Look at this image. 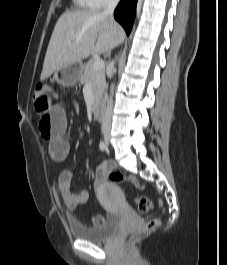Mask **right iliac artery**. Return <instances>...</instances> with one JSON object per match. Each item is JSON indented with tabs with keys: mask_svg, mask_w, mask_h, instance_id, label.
<instances>
[{
	"mask_svg": "<svg viewBox=\"0 0 227 265\" xmlns=\"http://www.w3.org/2000/svg\"><path fill=\"white\" fill-rule=\"evenodd\" d=\"M99 147H100V150H101V151H105L106 148H107V147H106V144H105L104 141H101V142H100Z\"/></svg>",
	"mask_w": 227,
	"mask_h": 265,
	"instance_id": "right-iliac-artery-1",
	"label": "right iliac artery"
}]
</instances>
